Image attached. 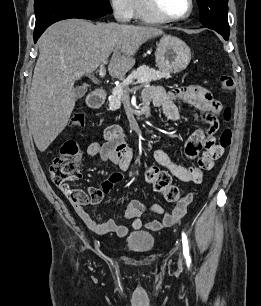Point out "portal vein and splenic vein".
Instances as JSON below:
<instances>
[{"label": "portal vein and splenic vein", "mask_w": 261, "mask_h": 306, "mask_svg": "<svg viewBox=\"0 0 261 306\" xmlns=\"http://www.w3.org/2000/svg\"><path fill=\"white\" fill-rule=\"evenodd\" d=\"M105 74H106L105 67H104V65H101V66H100V69H99V76H100V77H104ZM135 84H136V83H135Z\"/></svg>", "instance_id": "obj_1"}]
</instances>
